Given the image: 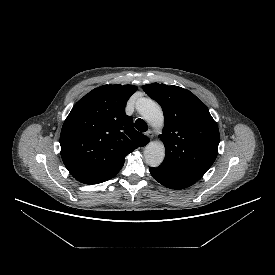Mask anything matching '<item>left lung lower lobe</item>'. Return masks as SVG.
I'll list each match as a JSON object with an SVG mask.
<instances>
[{
    "instance_id": "1",
    "label": "left lung lower lobe",
    "mask_w": 275,
    "mask_h": 275,
    "mask_svg": "<svg viewBox=\"0 0 275 275\" xmlns=\"http://www.w3.org/2000/svg\"><path fill=\"white\" fill-rule=\"evenodd\" d=\"M149 170L155 180L163 186L171 189H184L193 185L197 181L192 177L163 166H159L157 168L150 167Z\"/></svg>"
}]
</instances>
